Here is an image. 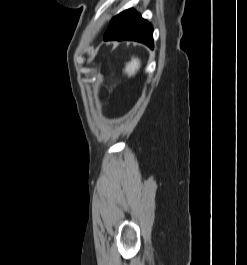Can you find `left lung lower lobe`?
Instances as JSON below:
<instances>
[{
    "label": "left lung lower lobe",
    "mask_w": 247,
    "mask_h": 265,
    "mask_svg": "<svg viewBox=\"0 0 247 265\" xmlns=\"http://www.w3.org/2000/svg\"><path fill=\"white\" fill-rule=\"evenodd\" d=\"M153 28L133 9H128L110 21L104 40H134L153 48Z\"/></svg>",
    "instance_id": "left-lung-lower-lobe-1"
}]
</instances>
